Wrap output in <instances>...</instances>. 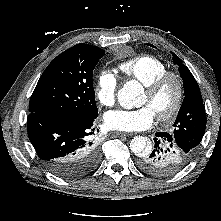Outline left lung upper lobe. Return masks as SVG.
<instances>
[{
  "label": "left lung upper lobe",
  "mask_w": 221,
  "mask_h": 221,
  "mask_svg": "<svg viewBox=\"0 0 221 221\" xmlns=\"http://www.w3.org/2000/svg\"><path fill=\"white\" fill-rule=\"evenodd\" d=\"M172 54L175 64L179 67L185 93L177 119L173 124L174 130L172 134L181 143L183 148L188 149L187 152L194 154L206 128L205 107L194 76L187 66L183 64L182 60L174 53Z\"/></svg>",
  "instance_id": "obj_1"
}]
</instances>
